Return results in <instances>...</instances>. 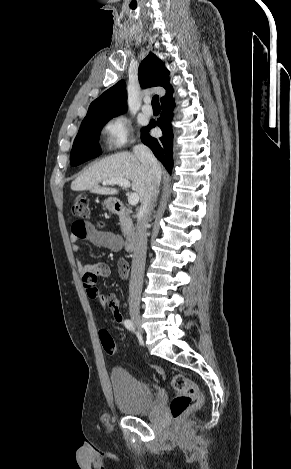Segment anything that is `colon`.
Listing matches in <instances>:
<instances>
[{"label":"colon","mask_w":291,"mask_h":469,"mask_svg":"<svg viewBox=\"0 0 291 469\" xmlns=\"http://www.w3.org/2000/svg\"><path fill=\"white\" fill-rule=\"evenodd\" d=\"M72 214L75 217L85 219L89 216V203L84 197H78L72 204ZM119 273L125 278L129 274V267L126 261H119ZM92 302L98 307L103 308L105 301L95 296ZM99 339L104 351L108 355H115L117 347L113 337L107 330L99 331ZM169 383L176 395L171 401L170 411L174 418H180L188 411L198 408L202 403V394L199 387L183 374H174L170 377Z\"/></svg>","instance_id":"obj_1"}]
</instances>
